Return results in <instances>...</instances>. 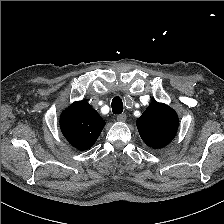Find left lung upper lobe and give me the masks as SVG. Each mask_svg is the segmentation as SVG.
<instances>
[{"instance_id": "obj_1", "label": "left lung upper lobe", "mask_w": 224, "mask_h": 224, "mask_svg": "<svg viewBox=\"0 0 224 224\" xmlns=\"http://www.w3.org/2000/svg\"><path fill=\"white\" fill-rule=\"evenodd\" d=\"M136 124L146 145L152 148H161L174 139L179 119L171 107L155 101L137 119Z\"/></svg>"}]
</instances>
